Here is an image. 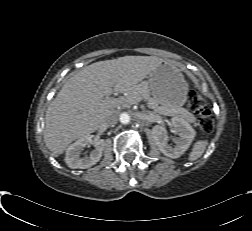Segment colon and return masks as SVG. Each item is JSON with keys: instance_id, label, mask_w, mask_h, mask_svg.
<instances>
[{"instance_id": "5ec220e1", "label": "colon", "mask_w": 252, "mask_h": 231, "mask_svg": "<svg viewBox=\"0 0 252 231\" xmlns=\"http://www.w3.org/2000/svg\"><path fill=\"white\" fill-rule=\"evenodd\" d=\"M189 109L198 117V124L205 133H211L214 129V119L205 100L195 91H190L187 96Z\"/></svg>"}]
</instances>
